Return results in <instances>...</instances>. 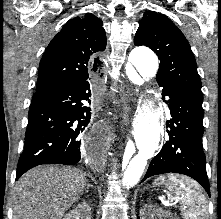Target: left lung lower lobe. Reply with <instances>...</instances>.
Segmentation results:
<instances>
[{"instance_id":"obj_1","label":"left lung lower lobe","mask_w":221,"mask_h":219,"mask_svg":"<svg viewBox=\"0 0 221 219\" xmlns=\"http://www.w3.org/2000/svg\"><path fill=\"white\" fill-rule=\"evenodd\" d=\"M163 94L169 97L172 116L167 123L169 140L152 159L142 181L158 174H184L199 182L210 196L202 147V101L174 89H163Z\"/></svg>"}]
</instances>
